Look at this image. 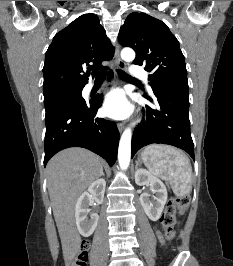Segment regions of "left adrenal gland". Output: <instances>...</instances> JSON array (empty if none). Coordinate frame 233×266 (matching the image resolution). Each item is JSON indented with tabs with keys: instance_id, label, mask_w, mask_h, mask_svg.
<instances>
[{
	"instance_id": "a2214340",
	"label": "left adrenal gland",
	"mask_w": 233,
	"mask_h": 266,
	"mask_svg": "<svg viewBox=\"0 0 233 266\" xmlns=\"http://www.w3.org/2000/svg\"><path fill=\"white\" fill-rule=\"evenodd\" d=\"M138 165H139V161L136 163V171H137V167H138Z\"/></svg>"
}]
</instances>
